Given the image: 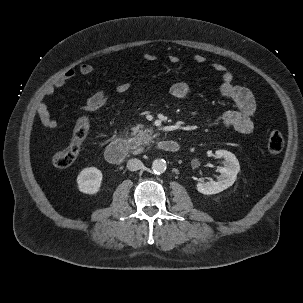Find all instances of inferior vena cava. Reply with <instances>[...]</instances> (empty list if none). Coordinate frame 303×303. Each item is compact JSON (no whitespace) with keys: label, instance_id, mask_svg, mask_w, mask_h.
Returning <instances> with one entry per match:
<instances>
[{"label":"inferior vena cava","instance_id":"602c4592","mask_svg":"<svg viewBox=\"0 0 303 303\" xmlns=\"http://www.w3.org/2000/svg\"><path fill=\"white\" fill-rule=\"evenodd\" d=\"M143 163L139 160V159H130L128 160L127 162V168L130 170V171H137V170H140L143 168Z\"/></svg>","mask_w":303,"mask_h":303}]
</instances>
